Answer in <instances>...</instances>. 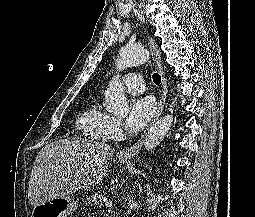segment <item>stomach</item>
Masks as SVG:
<instances>
[{"instance_id": "0dacf381", "label": "stomach", "mask_w": 255, "mask_h": 217, "mask_svg": "<svg viewBox=\"0 0 255 217\" xmlns=\"http://www.w3.org/2000/svg\"><path fill=\"white\" fill-rule=\"evenodd\" d=\"M119 161L122 163L126 159L120 158ZM77 205V201L70 196L55 197L34 206L32 217H68L76 211Z\"/></svg>"}]
</instances>
